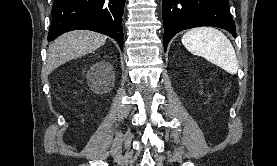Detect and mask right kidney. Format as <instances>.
I'll use <instances>...</instances> for the list:
<instances>
[{
  "label": "right kidney",
  "mask_w": 277,
  "mask_h": 166,
  "mask_svg": "<svg viewBox=\"0 0 277 166\" xmlns=\"http://www.w3.org/2000/svg\"><path fill=\"white\" fill-rule=\"evenodd\" d=\"M96 66H97V68H99V69H100V68L104 67V66H105V64L100 63V64H97Z\"/></svg>",
  "instance_id": "1"
}]
</instances>
